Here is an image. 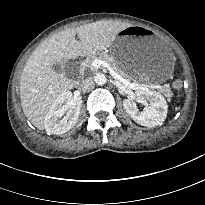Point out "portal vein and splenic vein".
<instances>
[{"instance_id": "obj_1", "label": "portal vein and splenic vein", "mask_w": 205, "mask_h": 205, "mask_svg": "<svg viewBox=\"0 0 205 205\" xmlns=\"http://www.w3.org/2000/svg\"><path fill=\"white\" fill-rule=\"evenodd\" d=\"M92 66H93V68H99L100 66H104V67H106V68L109 70V72H110V74H111V76H112L113 78L125 82V79H123L119 74H117V73L111 68V66H110L108 63H106L105 61H103V60L95 59V60L92 62ZM129 85H130V86H133L132 83H129Z\"/></svg>"}]
</instances>
